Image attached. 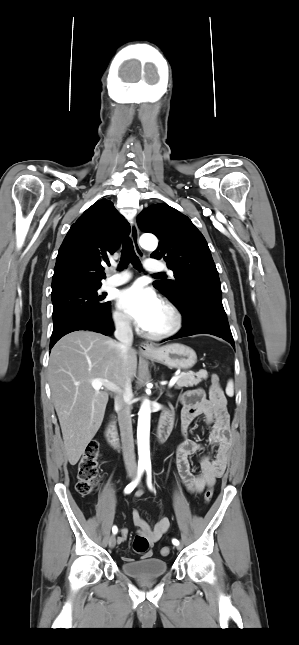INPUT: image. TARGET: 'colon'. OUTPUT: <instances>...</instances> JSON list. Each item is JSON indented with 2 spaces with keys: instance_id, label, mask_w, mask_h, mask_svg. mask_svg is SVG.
Masks as SVG:
<instances>
[{
  "instance_id": "colon-1",
  "label": "colon",
  "mask_w": 299,
  "mask_h": 645,
  "mask_svg": "<svg viewBox=\"0 0 299 645\" xmlns=\"http://www.w3.org/2000/svg\"><path fill=\"white\" fill-rule=\"evenodd\" d=\"M211 389L214 391L220 390V380L217 374L213 373L211 376ZM98 456H99V447L97 442H90L78 463L77 469V484L76 490L79 494L86 496L93 492L97 481H98ZM213 496L212 488H208L204 493V500L206 503H209ZM149 548L148 540L141 536L137 535L133 540V550L138 554L145 553ZM161 554L167 556L170 554L169 547H163L161 549Z\"/></svg>"
}]
</instances>
